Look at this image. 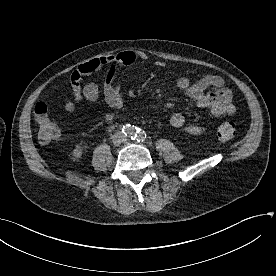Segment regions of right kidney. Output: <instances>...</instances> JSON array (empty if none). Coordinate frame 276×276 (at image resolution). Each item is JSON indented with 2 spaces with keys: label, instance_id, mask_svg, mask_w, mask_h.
I'll return each mask as SVG.
<instances>
[{
  "label": "right kidney",
  "instance_id": "1",
  "mask_svg": "<svg viewBox=\"0 0 276 276\" xmlns=\"http://www.w3.org/2000/svg\"><path fill=\"white\" fill-rule=\"evenodd\" d=\"M72 154H73L74 160H79V159L82 157L83 150H82L81 147L77 146V147L73 150Z\"/></svg>",
  "mask_w": 276,
  "mask_h": 276
}]
</instances>
